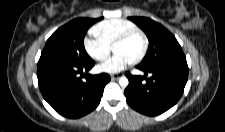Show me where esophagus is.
Here are the masks:
<instances>
[{"label":"esophagus","mask_w":225,"mask_h":132,"mask_svg":"<svg viewBox=\"0 0 225 132\" xmlns=\"http://www.w3.org/2000/svg\"><path fill=\"white\" fill-rule=\"evenodd\" d=\"M119 77H120L119 74H113V75H111V79L112 80L118 79Z\"/></svg>","instance_id":"obj_1"}]
</instances>
